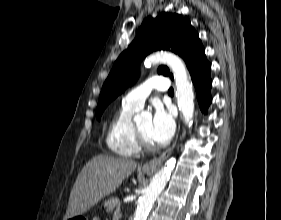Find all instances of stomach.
Segmentation results:
<instances>
[{"instance_id":"obj_1","label":"stomach","mask_w":281,"mask_h":220,"mask_svg":"<svg viewBox=\"0 0 281 220\" xmlns=\"http://www.w3.org/2000/svg\"><path fill=\"white\" fill-rule=\"evenodd\" d=\"M144 173L145 174H147V175H150L151 173L150 172H146V171H144ZM83 217H81V216H75V217H72V218H70L71 220H80V219H82Z\"/></svg>"}]
</instances>
